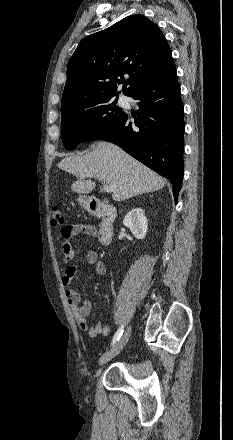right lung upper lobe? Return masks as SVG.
<instances>
[{
    "label": "right lung upper lobe",
    "mask_w": 233,
    "mask_h": 440,
    "mask_svg": "<svg viewBox=\"0 0 233 440\" xmlns=\"http://www.w3.org/2000/svg\"><path fill=\"white\" fill-rule=\"evenodd\" d=\"M174 67L158 26L143 15L128 16L80 42L67 66L61 109L81 101L113 98L118 77L124 75L130 78L122 91L131 96Z\"/></svg>",
    "instance_id": "obj_1"
}]
</instances>
